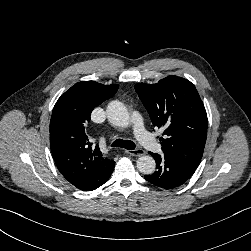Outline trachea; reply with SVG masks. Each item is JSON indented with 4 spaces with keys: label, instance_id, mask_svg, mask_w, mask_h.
Returning a JSON list of instances; mask_svg holds the SVG:
<instances>
[{
    "label": "trachea",
    "instance_id": "1",
    "mask_svg": "<svg viewBox=\"0 0 251 251\" xmlns=\"http://www.w3.org/2000/svg\"><path fill=\"white\" fill-rule=\"evenodd\" d=\"M112 147H121L125 148L127 150H134L135 149V143L130 140H123V139H117L112 144Z\"/></svg>",
    "mask_w": 251,
    "mask_h": 251
}]
</instances>
